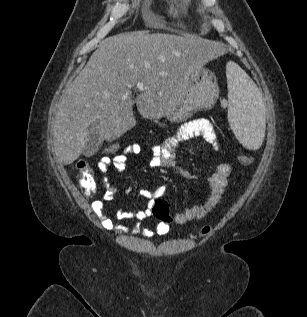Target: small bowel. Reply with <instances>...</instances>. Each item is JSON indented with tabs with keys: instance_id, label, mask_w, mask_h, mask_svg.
Segmentation results:
<instances>
[{
	"instance_id": "obj_1",
	"label": "small bowel",
	"mask_w": 307,
	"mask_h": 317,
	"mask_svg": "<svg viewBox=\"0 0 307 317\" xmlns=\"http://www.w3.org/2000/svg\"><path fill=\"white\" fill-rule=\"evenodd\" d=\"M190 138H202L206 142L212 144L216 150L220 149L218 136L214 129L213 124L206 118H198L181 125L177 131L166 138L162 143L155 144L151 147V168H165L183 179H196V176L183 168L177 166L175 161L174 150L181 141ZM142 152L140 144H131L128 150V155H137ZM127 156L110 158L103 156L99 163L98 169L102 175V181L105 187L104 195L101 199L95 200L91 203V208L95 215L100 220L102 227L106 230H114L117 232L123 231L125 228L121 225H114L111 217L105 210V202L113 201L118 191L113 183L108 179L109 170L112 166L117 172H123L126 169ZM232 173V166L228 162L220 163L216 170L207 177L208 194L207 196L197 203L196 205L187 208L184 212L177 213L174 216L176 224H185L189 221L201 219L209 213L220 201L225 187L228 184V178ZM128 189L126 193H129ZM140 195L146 199V207L143 210L136 212L118 211V219H135L137 222L143 221L152 215V207L156 199L162 197L166 193L164 185L158 186L155 189H141ZM169 231L168 224L159 222L156 225V232L160 235L167 234ZM133 233L141 232L143 236L150 237L153 235L151 228H140L139 223H136L132 228Z\"/></svg>"
}]
</instances>
